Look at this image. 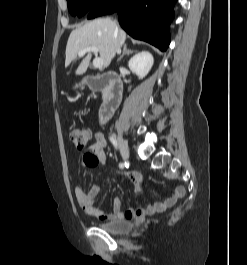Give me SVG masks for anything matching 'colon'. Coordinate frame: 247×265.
Here are the masks:
<instances>
[{"instance_id": "obj_1", "label": "colon", "mask_w": 247, "mask_h": 265, "mask_svg": "<svg viewBox=\"0 0 247 265\" xmlns=\"http://www.w3.org/2000/svg\"><path fill=\"white\" fill-rule=\"evenodd\" d=\"M69 138L76 148L82 150L87 146L91 132L86 127H72L69 130Z\"/></svg>"}]
</instances>
